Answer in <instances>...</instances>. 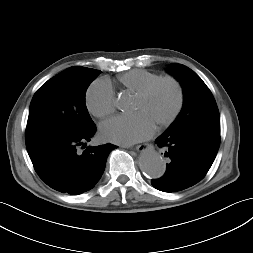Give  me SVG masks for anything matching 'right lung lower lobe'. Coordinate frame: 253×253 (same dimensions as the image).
Listing matches in <instances>:
<instances>
[{
	"label": "right lung lower lobe",
	"mask_w": 253,
	"mask_h": 253,
	"mask_svg": "<svg viewBox=\"0 0 253 253\" xmlns=\"http://www.w3.org/2000/svg\"><path fill=\"white\" fill-rule=\"evenodd\" d=\"M96 126L69 139L54 142L29 155L39 177L51 188L72 195L92 189L101 178L113 144L87 147Z\"/></svg>",
	"instance_id": "98d812e1"
}]
</instances>
